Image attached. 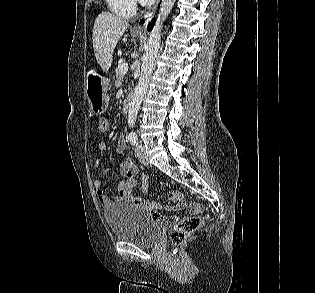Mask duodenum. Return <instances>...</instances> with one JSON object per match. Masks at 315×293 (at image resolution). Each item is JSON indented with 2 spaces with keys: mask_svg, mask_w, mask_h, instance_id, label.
<instances>
[{
  "mask_svg": "<svg viewBox=\"0 0 315 293\" xmlns=\"http://www.w3.org/2000/svg\"><path fill=\"white\" fill-rule=\"evenodd\" d=\"M132 96L128 95L126 99L123 102V112L124 114H127L131 105Z\"/></svg>",
  "mask_w": 315,
  "mask_h": 293,
  "instance_id": "410a0bca",
  "label": "duodenum"
}]
</instances>
